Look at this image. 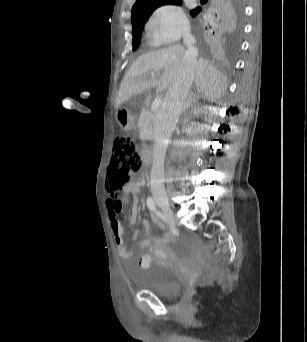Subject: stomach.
Masks as SVG:
<instances>
[{
	"instance_id": "1",
	"label": "stomach",
	"mask_w": 307,
	"mask_h": 342,
	"mask_svg": "<svg viewBox=\"0 0 307 342\" xmlns=\"http://www.w3.org/2000/svg\"><path fill=\"white\" fill-rule=\"evenodd\" d=\"M117 121L125 130H130L133 127V117L125 110H118L116 113Z\"/></svg>"
}]
</instances>
